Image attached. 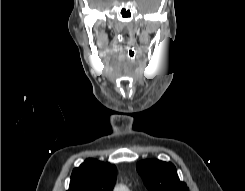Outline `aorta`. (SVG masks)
Here are the masks:
<instances>
[{
	"instance_id": "obj_1",
	"label": "aorta",
	"mask_w": 245,
	"mask_h": 191,
	"mask_svg": "<svg viewBox=\"0 0 245 191\" xmlns=\"http://www.w3.org/2000/svg\"><path fill=\"white\" fill-rule=\"evenodd\" d=\"M114 191H129V189L125 185L119 184L115 187Z\"/></svg>"
}]
</instances>
